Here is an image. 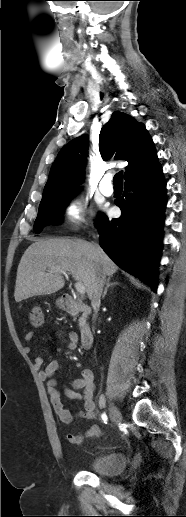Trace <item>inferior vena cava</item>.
Returning a JSON list of instances; mask_svg holds the SVG:
<instances>
[{"label":"inferior vena cava","instance_id":"inferior-vena-cava-1","mask_svg":"<svg viewBox=\"0 0 186 517\" xmlns=\"http://www.w3.org/2000/svg\"><path fill=\"white\" fill-rule=\"evenodd\" d=\"M96 248L99 253H101V249L98 245H96ZM106 282V275L102 272H98L95 282L93 284V297H92V306L98 307L100 304L101 294L103 291V286ZM94 318H96V314L94 315Z\"/></svg>","mask_w":186,"mask_h":517}]
</instances>
